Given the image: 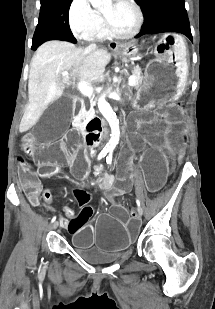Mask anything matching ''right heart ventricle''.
Returning a JSON list of instances; mask_svg holds the SVG:
<instances>
[{
  "label": "right heart ventricle",
  "instance_id": "right-heart-ventricle-1",
  "mask_svg": "<svg viewBox=\"0 0 215 309\" xmlns=\"http://www.w3.org/2000/svg\"><path fill=\"white\" fill-rule=\"evenodd\" d=\"M87 32L88 34H94L95 38H104L105 36L104 31H101L100 27H88Z\"/></svg>",
  "mask_w": 215,
  "mask_h": 309
}]
</instances>
